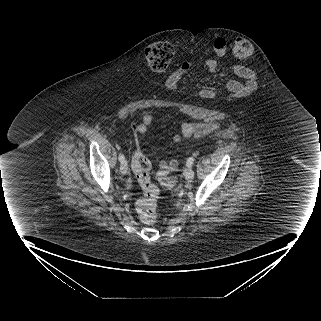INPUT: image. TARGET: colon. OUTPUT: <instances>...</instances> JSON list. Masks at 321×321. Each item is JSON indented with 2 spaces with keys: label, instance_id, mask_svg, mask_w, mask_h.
Returning <instances> with one entry per match:
<instances>
[{
  "label": "colon",
  "instance_id": "5ec220e1",
  "mask_svg": "<svg viewBox=\"0 0 321 321\" xmlns=\"http://www.w3.org/2000/svg\"><path fill=\"white\" fill-rule=\"evenodd\" d=\"M175 51V46L171 42H157L147 47L145 59L152 70L164 71L170 65ZM233 51L237 57L246 58L252 53V45L245 38H237L233 44ZM132 169L142 189V196L135 204L138 217L145 224H154L159 219L157 212L159 190L151 181L150 162L139 149L134 152ZM159 179L161 184L166 188H173L176 184L175 177L162 175L159 176Z\"/></svg>",
  "mask_w": 321,
  "mask_h": 321
}]
</instances>
